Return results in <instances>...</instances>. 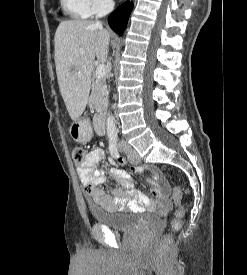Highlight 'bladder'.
<instances>
[{"label":"bladder","instance_id":"bladder-1","mask_svg":"<svg viewBox=\"0 0 247 275\" xmlns=\"http://www.w3.org/2000/svg\"><path fill=\"white\" fill-rule=\"evenodd\" d=\"M90 211L97 224L118 232H129L138 225L153 226L162 221L160 215L147 212L142 215L141 219H136L133 213L110 212L96 205H92Z\"/></svg>","mask_w":247,"mask_h":275}]
</instances>
